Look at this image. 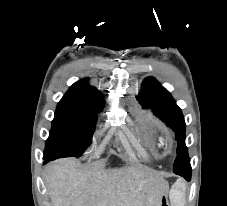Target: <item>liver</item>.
<instances>
[{
  "label": "liver",
  "mask_w": 227,
  "mask_h": 206,
  "mask_svg": "<svg viewBox=\"0 0 227 206\" xmlns=\"http://www.w3.org/2000/svg\"><path fill=\"white\" fill-rule=\"evenodd\" d=\"M53 206H160L168 182L154 171L130 167L81 172L74 159L45 170Z\"/></svg>",
  "instance_id": "6515ba94"
}]
</instances>
